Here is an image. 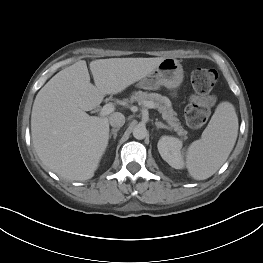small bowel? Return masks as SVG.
Returning a JSON list of instances; mask_svg holds the SVG:
<instances>
[{
    "instance_id": "obj_1",
    "label": "small bowel",
    "mask_w": 263,
    "mask_h": 263,
    "mask_svg": "<svg viewBox=\"0 0 263 263\" xmlns=\"http://www.w3.org/2000/svg\"><path fill=\"white\" fill-rule=\"evenodd\" d=\"M192 102H196V101H198L199 100V97H197V96H194V97H192Z\"/></svg>"
}]
</instances>
